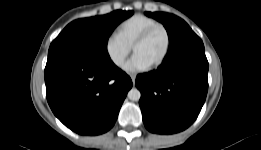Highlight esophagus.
Here are the masks:
<instances>
[{"mask_svg": "<svg viewBox=\"0 0 261 150\" xmlns=\"http://www.w3.org/2000/svg\"><path fill=\"white\" fill-rule=\"evenodd\" d=\"M130 77H131V80H132L133 84H135L136 75L135 74H131Z\"/></svg>", "mask_w": 261, "mask_h": 150, "instance_id": "esophagus-1", "label": "esophagus"}]
</instances>
